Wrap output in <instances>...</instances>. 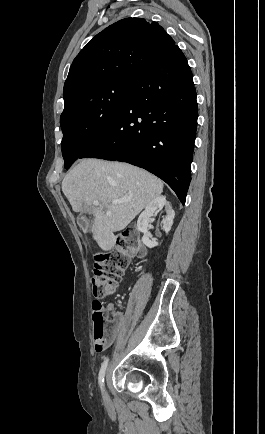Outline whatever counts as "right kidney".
<instances>
[{"instance_id": "ca27d5eb", "label": "right kidney", "mask_w": 265, "mask_h": 434, "mask_svg": "<svg viewBox=\"0 0 265 434\" xmlns=\"http://www.w3.org/2000/svg\"><path fill=\"white\" fill-rule=\"evenodd\" d=\"M164 206L166 208V216L163 218V230L168 234L171 230V226H173L175 212L172 210V206L167 202L165 196L154 198V200L146 206L144 212L140 214L137 220V228L139 232H143L144 236L142 242L147 248H155V246H158V242L151 240L152 236L150 232H148V228L151 220L156 216V210H158V208H164Z\"/></svg>"}]
</instances>
